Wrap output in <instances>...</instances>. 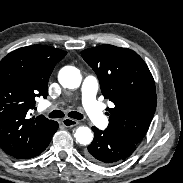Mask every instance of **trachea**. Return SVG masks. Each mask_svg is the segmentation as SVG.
I'll list each match as a JSON object with an SVG mask.
<instances>
[{"label":"trachea","mask_w":183,"mask_h":183,"mask_svg":"<svg viewBox=\"0 0 183 183\" xmlns=\"http://www.w3.org/2000/svg\"><path fill=\"white\" fill-rule=\"evenodd\" d=\"M48 115L50 118H62L65 116L64 113L60 110H54V111L50 112ZM68 116L73 119H83V117H84L83 114L76 112V111L69 112Z\"/></svg>","instance_id":"1"}]
</instances>
